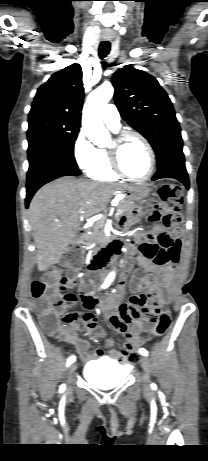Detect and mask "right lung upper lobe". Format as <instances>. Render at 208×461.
Instances as JSON below:
<instances>
[{
	"instance_id": "1",
	"label": "right lung upper lobe",
	"mask_w": 208,
	"mask_h": 461,
	"mask_svg": "<svg viewBox=\"0 0 208 461\" xmlns=\"http://www.w3.org/2000/svg\"><path fill=\"white\" fill-rule=\"evenodd\" d=\"M83 98L82 68L73 64L53 74L39 87L28 117L80 124Z\"/></svg>"
}]
</instances>
